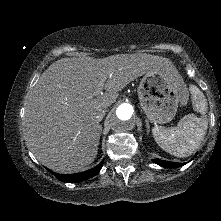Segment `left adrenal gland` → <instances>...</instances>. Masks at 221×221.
Here are the masks:
<instances>
[{
	"mask_svg": "<svg viewBox=\"0 0 221 221\" xmlns=\"http://www.w3.org/2000/svg\"><path fill=\"white\" fill-rule=\"evenodd\" d=\"M146 127H147V132L149 133V131H150V126H149V121H148V120H146Z\"/></svg>",
	"mask_w": 221,
	"mask_h": 221,
	"instance_id": "1",
	"label": "left adrenal gland"
}]
</instances>
